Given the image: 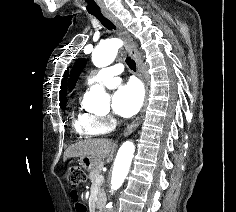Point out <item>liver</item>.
<instances>
[{
	"label": "liver",
	"instance_id": "1",
	"mask_svg": "<svg viewBox=\"0 0 236 212\" xmlns=\"http://www.w3.org/2000/svg\"><path fill=\"white\" fill-rule=\"evenodd\" d=\"M115 143L109 139H86L70 145L64 152L63 161L71 157H92L98 160L112 159Z\"/></svg>",
	"mask_w": 236,
	"mask_h": 212
}]
</instances>
